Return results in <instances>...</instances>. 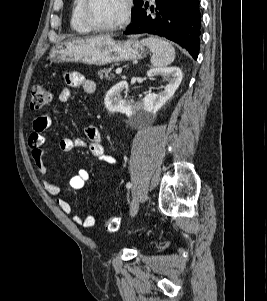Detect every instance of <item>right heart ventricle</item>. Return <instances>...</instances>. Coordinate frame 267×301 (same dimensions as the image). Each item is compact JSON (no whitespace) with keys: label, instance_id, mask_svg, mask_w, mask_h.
Here are the masks:
<instances>
[{"label":"right heart ventricle","instance_id":"1","mask_svg":"<svg viewBox=\"0 0 267 301\" xmlns=\"http://www.w3.org/2000/svg\"><path fill=\"white\" fill-rule=\"evenodd\" d=\"M83 0H73L70 24L74 31L78 33H89L92 29L85 23L82 16Z\"/></svg>","mask_w":267,"mask_h":301}]
</instances>
